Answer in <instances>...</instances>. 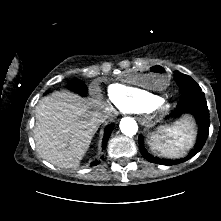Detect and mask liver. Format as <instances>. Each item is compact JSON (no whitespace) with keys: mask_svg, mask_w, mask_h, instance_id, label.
<instances>
[{"mask_svg":"<svg viewBox=\"0 0 221 221\" xmlns=\"http://www.w3.org/2000/svg\"><path fill=\"white\" fill-rule=\"evenodd\" d=\"M106 104L98 95L85 99L56 91L36 106L34 140L39 155L60 168H76L89 148Z\"/></svg>","mask_w":221,"mask_h":221,"instance_id":"6515ba94","label":"liver"}]
</instances>
